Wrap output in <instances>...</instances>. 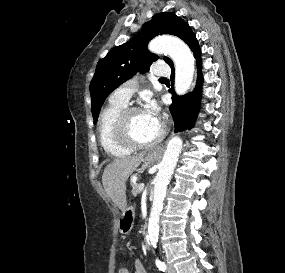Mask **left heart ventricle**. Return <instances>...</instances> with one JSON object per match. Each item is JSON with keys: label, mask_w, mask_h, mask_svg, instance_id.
Segmentation results:
<instances>
[{"label": "left heart ventricle", "mask_w": 285, "mask_h": 273, "mask_svg": "<svg viewBox=\"0 0 285 273\" xmlns=\"http://www.w3.org/2000/svg\"><path fill=\"white\" fill-rule=\"evenodd\" d=\"M160 122L148 117L142 110L129 118V133L138 142L153 140L159 133Z\"/></svg>", "instance_id": "b2bd125f"}]
</instances>
